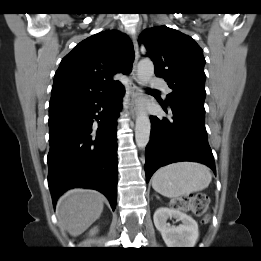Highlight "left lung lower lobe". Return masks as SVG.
<instances>
[{"mask_svg":"<svg viewBox=\"0 0 261 261\" xmlns=\"http://www.w3.org/2000/svg\"><path fill=\"white\" fill-rule=\"evenodd\" d=\"M161 105L172 118L150 117V141L145 151L146 181L158 168L179 161L200 162L215 172L205 128L204 107L184 99H178L168 106Z\"/></svg>","mask_w":261,"mask_h":261,"instance_id":"1","label":"left lung lower lobe"}]
</instances>
